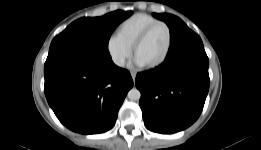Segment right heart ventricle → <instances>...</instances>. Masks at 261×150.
Masks as SVG:
<instances>
[{"label":"right heart ventricle","mask_w":261,"mask_h":150,"mask_svg":"<svg viewBox=\"0 0 261 150\" xmlns=\"http://www.w3.org/2000/svg\"><path fill=\"white\" fill-rule=\"evenodd\" d=\"M156 21L159 20L146 13L133 14L117 26L116 36L132 48L141 32Z\"/></svg>","instance_id":"e07e8e85"}]
</instances>
